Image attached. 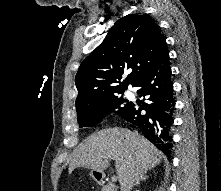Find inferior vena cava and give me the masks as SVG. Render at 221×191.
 Listing matches in <instances>:
<instances>
[{
	"label": "inferior vena cava",
	"instance_id": "obj_1",
	"mask_svg": "<svg viewBox=\"0 0 221 191\" xmlns=\"http://www.w3.org/2000/svg\"><path fill=\"white\" fill-rule=\"evenodd\" d=\"M139 175L138 172L131 173L127 179L121 184V191H130L134 185L135 178Z\"/></svg>",
	"mask_w": 221,
	"mask_h": 191
}]
</instances>
